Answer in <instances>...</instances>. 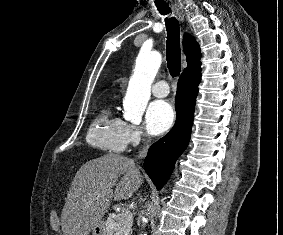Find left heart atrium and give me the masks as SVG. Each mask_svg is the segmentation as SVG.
Instances as JSON below:
<instances>
[{
    "instance_id": "1",
    "label": "left heart atrium",
    "mask_w": 283,
    "mask_h": 235,
    "mask_svg": "<svg viewBox=\"0 0 283 235\" xmlns=\"http://www.w3.org/2000/svg\"><path fill=\"white\" fill-rule=\"evenodd\" d=\"M175 114L171 105L163 100L152 102L146 111L145 120L150 133L158 135L173 124Z\"/></svg>"
}]
</instances>
